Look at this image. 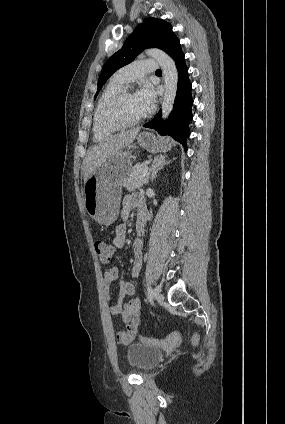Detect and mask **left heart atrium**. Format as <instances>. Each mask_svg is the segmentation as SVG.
Listing matches in <instances>:
<instances>
[{"label": "left heart atrium", "mask_w": 285, "mask_h": 424, "mask_svg": "<svg viewBox=\"0 0 285 424\" xmlns=\"http://www.w3.org/2000/svg\"><path fill=\"white\" fill-rule=\"evenodd\" d=\"M136 96L146 113L150 112L154 108L156 103V94L149 83H144L137 91Z\"/></svg>", "instance_id": "left-heart-atrium-1"}]
</instances>
